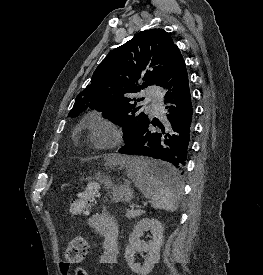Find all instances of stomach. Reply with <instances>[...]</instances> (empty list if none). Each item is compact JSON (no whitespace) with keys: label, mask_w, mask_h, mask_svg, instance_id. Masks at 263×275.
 Returning a JSON list of instances; mask_svg holds the SVG:
<instances>
[{"label":"stomach","mask_w":263,"mask_h":275,"mask_svg":"<svg viewBox=\"0 0 263 275\" xmlns=\"http://www.w3.org/2000/svg\"><path fill=\"white\" fill-rule=\"evenodd\" d=\"M155 163L164 165L163 163H160V162H155ZM132 197H133V192L127 186H124L122 188H117V189L113 190L112 200L115 201V202H118V201H121V200L130 201L132 199Z\"/></svg>","instance_id":"1"}]
</instances>
